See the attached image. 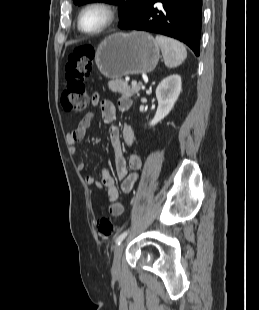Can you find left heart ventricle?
<instances>
[{
    "label": "left heart ventricle",
    "instance_id": "b2bd125f",
    "mask_svg": "<svg viewBox=\"0 0 259 310\" xmlns=\"http://www.w3.org/2000/svg\"><path fill=\"white\" fill-rule=\"evenodd\" d=\"M106 19V14L101 9H90L82 17V25L87 30L99 28Z\"/></svg>",
    "mask_w": 259,
    "mask_h": 310
}]
</instances>
